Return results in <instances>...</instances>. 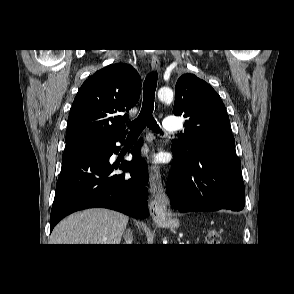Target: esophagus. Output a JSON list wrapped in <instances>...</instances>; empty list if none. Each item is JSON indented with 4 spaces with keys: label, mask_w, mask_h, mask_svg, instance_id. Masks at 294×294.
Masks as SVG:
<instances>
[{
    "label": "esophagus",
    "mask_w": 294,
    "mask_h": 294,
    "mask_svg": "<svg viewBox=\"0 0 294 294\" xmlns=\"http://www.w3.org/2000/svg\"><path fill=\"white\" fill-rule=\"evenodd\" d=\"M151 66L156 71L160 70V60L156 55L151 57ZM149 183L151 192L149 211L152 219L157 221L164 218L166 214L168 198L163 189L160 170L156 165L151 166Z\"/></svg>",
    "instance_id": "34e87169"
}]
</instances>
